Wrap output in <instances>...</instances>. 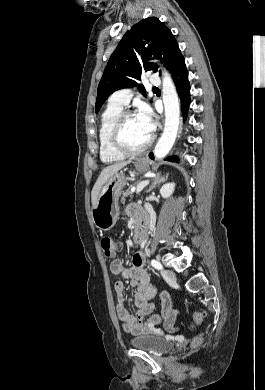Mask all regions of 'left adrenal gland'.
<instances>
[{"mask_svg":"<svg viewBox=\"0 0 265 390\" xmlns=\"http://www.w3.org/2000/svg\"><path fill=\"white\" fill-rule=\"evenodd\" d=\"M168 178V174L166 176H161V172H159L152 180V184L150 188L147 190V192H150L153 188L156 187L157 184L161 182H165Z\"/></svg>","mask_w":265,"mask_h":390,"instance_id":"left-adrenal-gland-1","label":"left adrenal gland"}]
</instances>
